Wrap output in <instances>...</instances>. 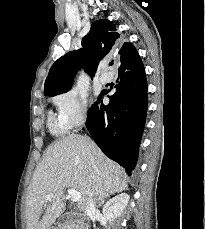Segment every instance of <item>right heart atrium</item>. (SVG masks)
Masks as SVG:
<instances>
[{"mask_svg": "<svg viewBox=\"0 0 205 229\" xmlns=\"http://www.w3.org/2000/svg\"><path fill=\"white\" fill-rule=\"evenodd\" d=\"M59 120L67 129H78L88 117L86 99L74 91L64 92L54 97Z\"/></svg>", "mask_w": 205, "mask_h": 229, "instance_id": "d8ad5b80", "label": "right heart atrium"}]
</instances>
